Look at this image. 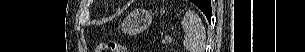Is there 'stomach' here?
<instances>
[{"mask_svg": "<svg viewBox=\"0 0 305 52\" xmlns=\"http://www.w3.org/2000/svg\"><path fill=\"white\" fill-rule=\"evenodd\" d=\"M152 21L149 11L137 9L132 11L123 21L122 28L129 34L140 33L145 30Z\"/></svg>", "mask_w": 305, "mask_h": 52, "instance_id": "1", "label": "stomach"}]
</instances>
